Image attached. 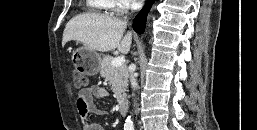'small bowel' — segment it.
<instances>
[{
    "instance_id": "c3829d8e",
    "label": "small bowel",
    "mask_w": 257,
    "mask_h": 130,
    "mask_svg": "<svg viewBox=\"0 0 257 130\" xmlns=\"http://www.w3.org/2000/svg\"><path fill=\"white\" fill-rule=\"evenodd\" d=\"M108 96V92L100 85H92L82 89L77 98V110L83 120V130H104V128L94 122L88 120L90 114L98 116L105 115V112L100 110L94 103V99H102Z\"/></svg>"
}]
</instances>
